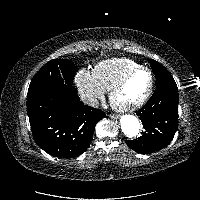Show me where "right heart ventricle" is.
Returning <instances> with one entry per match:
<instances>
[{"mask_svg":"<svg viewBox=\"0 0 200 200\" xmlns=\"http://www.w3.org/2000/svg\"><path fill=\"white\" fill-rule=\"evenodd\" d=\"M138 66L141 64L130 58H111L99 62L93 71L98 82L110 90L127 72Z\"/></svg>","mask_w":200,"mask_h":200,"instance_id":"obj_1","label":"right heart ventricle"}]
</instances>
